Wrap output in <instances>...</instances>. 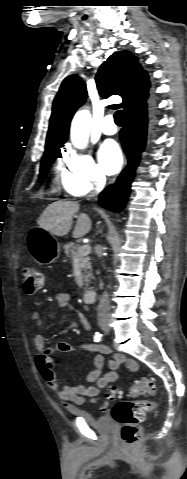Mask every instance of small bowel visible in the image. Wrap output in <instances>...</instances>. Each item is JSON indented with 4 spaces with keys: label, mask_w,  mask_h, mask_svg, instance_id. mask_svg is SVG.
I'll return each instance as SVG.
<instances>
[{
    "label": "small bowel",
    "mask_w": 187,
    "mask_h": 479,
    "mask_svg": "<svg viewBox=\"0 0 187 479\" xmlns=\"http://www.w3.org/2000/svg\"><path fill=\"white\" fill-rule=\"evenodd\" d=\"M71 299L72 297L69 293H57L55 295V304L59 309L76 311ZM30 318L35 328L42 326L44 317L40 312L33 311ZM81 321L83 322L85 330L90 331V326L85 317L82 316ZM33 339L34 344L39 351L35 360L36 368L48 387L56 392L58 398L67 407L82 405L85 402L96 403L100 392L109 383L115 382L118 379V369L121 365H125L129 370H136L138 368V364L135 360L128 359L121 354H115L109 361L111 371L100 377L99 370L103 362L102 355L110 354V349L108 347L99 344H76L66 341L58 342L54 346H45L44 338L38 332L34 334ZM76 350L91 351L96 354L94 359V369L87 375L86 384H77L60 388L59 378L52 368L51 355L54 352L68 353Z\"/></svg>",
    "instance_id": "obj_1"
}]
</instances>
